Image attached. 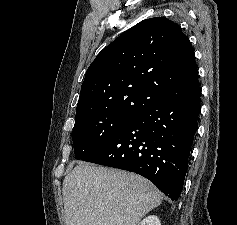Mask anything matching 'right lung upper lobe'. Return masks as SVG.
Segmentation results:
<instances>
[{"label":"right lung upper lobe","mask_w":237,"mask_h":225,"mask_svg":"<svg viewBox=\"0 0 237 225\" xmlns=\"http://www.w3.org/2000/svg\"><path fill=\"white\" fill-rule=\"evenodd\" d=\"M194 50L181 28L165 17L141 21L105 47L82 83L76 120L136 114L172 93L197 86Z\"/></svg>","instance_id":"right-lung-upper-lobe-1"}]
</instances>
